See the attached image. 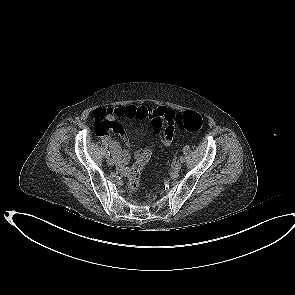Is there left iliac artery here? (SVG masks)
<instances>
[{
  "label": "left iliac artery",
  "mask_w": 295,
  "mask_h": 295,
  "mask_svg": "<svg viewBox=\"0 0 295 295\" xmlns=\"http://www.w3.org/2000/svg\"><path fill=\"white\" fill-rule=\"evenodd\" d=\"M180 162H181V163L185 162V157H184V156H181V157H180Z\"/></svg>",
  "instance_id": "left-iliac-artery-1"
}]
</instances>
